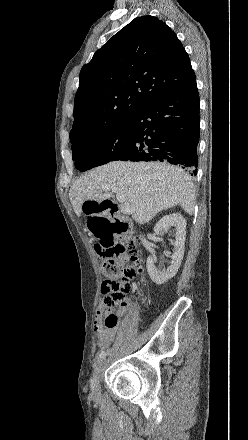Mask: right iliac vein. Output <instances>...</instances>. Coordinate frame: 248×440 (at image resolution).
Listing matches in <instances>:
<instances>
[{
  "label": "right iliac vein",
  "instance_id": "1",
  "mask_svg": "<svg viewBox=\"0 0 248 440\" xmlns=\"http://www.w3.org/2000/svg\"><path fill=\"white\" fill-rule=\"evenodd\" d=\"M103 365L104 362L101 361L99 362L94 369V373H93V378H92V383H91V389L93 394H98L99 392V381H100V376L103 370Z\"/></svg>",
  "mask_w": 248,
  "mask_h": 440
}]
</instances>
